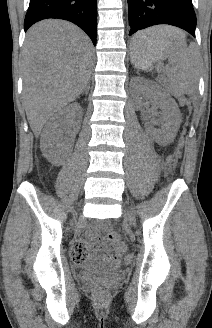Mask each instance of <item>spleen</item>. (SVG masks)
Masks as SVG:
<instances>
[{"instance_id": "3e777b00", "label": "spleen", "mask_w": 212, "mask_h": 328, "mask_svg": "<svg viewBox=\"0 0 212 328\" xmlns=\"http://www.w3.org/2000/svg\"><path fill=\"white\" fill-rule=\"evenodd\" d=\"M133 40L140 46L134 50H166L172 67L166 66L170 91L174 95L191 94L197 88L198 69L195 61L196 49L187 47L184 34L169 26H157L137 33Z\"/></svg>"}]
</instances>
